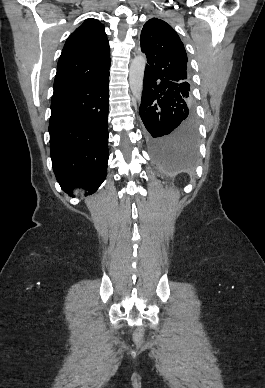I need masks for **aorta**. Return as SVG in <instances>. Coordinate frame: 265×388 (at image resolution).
<instances>
[{"mask_svg":"<svg viewBox=\"0 0 265 388\" xmlns=\"http://www.w3.org/2000/svg\"><path fill=\"white\" fill-rule=\"evenodd\" d=\"M146 66V58L142 55L136 56L130 65L129 83L133 96L140 101L143 91V80Z\"/></svg>","mask_w":265,"mask_h":388,"instance_id":"obj_1","label":"aorta"}]
</instances>
